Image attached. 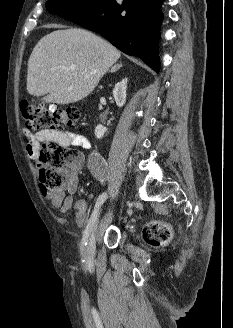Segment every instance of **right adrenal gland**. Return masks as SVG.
<instances>
[{"instance_id": "right-adrenal-gland-1", "label": "right adrenal gland", "mask_w": 233, "mask_h": 328, "mask_svg": "<svg viewBox=\"0 0 233 328\" xmlns=\"http://www.w3.org/2000/svg\"><path fill=\"white\" fill-rule=\"evenodd\" d=\"M122 67L121 62L119 64L114 65L109 72L113 73L119 70Z\"/></svg>"}]
</instances>
